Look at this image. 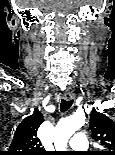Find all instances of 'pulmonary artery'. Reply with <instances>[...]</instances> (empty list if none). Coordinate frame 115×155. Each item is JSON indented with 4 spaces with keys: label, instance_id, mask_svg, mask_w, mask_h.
Masks as SVG:
<instances>
[{
    "label": "pulmonary artery",
    "instance_id": "1",
    "mask_svg": "<svg viewBox=\"0 0 115 155\" xmlns=\"http://www.w3.org/2000/svg\"><path fill=\"white\" fill-rule=\"evenodd\" d=\"M69 145L73 150L83 151L88 148V139L84 133L77 132L70 139Z\"/></svg>",
    "mask_w": 115,
    "mask_h": 155
}]
</instances>
